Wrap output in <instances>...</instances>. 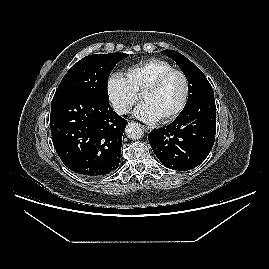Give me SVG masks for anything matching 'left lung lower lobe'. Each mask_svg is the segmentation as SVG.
Returning a JSON list of instances; mask_svg holds the SVG:
<instances>
[{"instance_id":"left-lung-lower-lobe-1","label":"left lung lower lobe","mask_w":269,"mask_h":269,"mask_svg":"<svg viewBox=\"0 0 269 269\" xmlns=\"http://www.w3.org/2000/svg\"><path fill=\"white\" fill-rule=\"evenodd\" d=\"M216 134L214 92L182 110L168 126L148 135L160 162L170 169L187 171L201 164L211 151Z\"/></svg>"}]
</instances>
